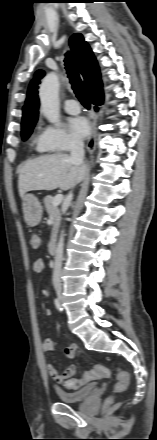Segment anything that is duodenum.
Wrapping results in <instances>:
<instances>
[{"label": "duodenum", "instance_id": "duodenum-1", "mask_svg": "<svg viewBox=\"0 0 157 440\" xmlns=\"http://www.w3.org/2000/svg\"><path fill=\"white\" fill-rule=\"evenodd\" d=\"M56 238L53 237L50 239L49 244H48V252L50 255H55L56 253Z\"/></svg>", "mask_w": 157, "mask_h": 440}]
</instances>
